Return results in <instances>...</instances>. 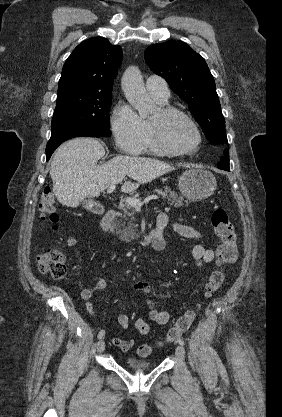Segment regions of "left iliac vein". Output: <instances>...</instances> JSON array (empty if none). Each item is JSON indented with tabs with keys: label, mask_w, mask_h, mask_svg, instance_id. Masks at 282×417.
I'll return each instance as SVG.
<instances>
[{
	"label": "left iliac vein",
	"mask_w": 282,
	"mask_h": 417,
	"mask_svg": "<svg viewBox=\"0 0 282 417\" xmlns=\"http://www.w3.org/2000/svg\"><path fill=\"white\" fill-rule=\"evenodd\" d=\"M175 354L179 359H184L185 357V349L182 345H178L175 350Z\"/></svg>",
	"instance_id": "4c4485c4"
}]
</instances>
